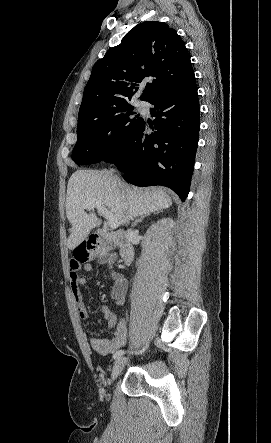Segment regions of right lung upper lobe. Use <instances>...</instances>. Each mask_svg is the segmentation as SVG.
I'll list each match as a JSON object with an SVG mask.
<instances>
[{
	"label": "right lung upper lobe",
	"mask_w": 271,
	"mask_h": 443,
	"mask_svg": "<svg viewBox=\"0 0 271 443\" xmlns=\"http://www.w3.org/2000/svg\"><path fill=\"white\" fill-rule=\"evenodd\" d=\"M195 79L190 55L176 31L147 21L129 31L92 69L78 119L96 118L128 105L140 88L141 100L184 86ZM146 80H152L145 85Z\"/></svg>",
	"instance_id": "right-lung-upper-lobe-1"
}]
</instances>
